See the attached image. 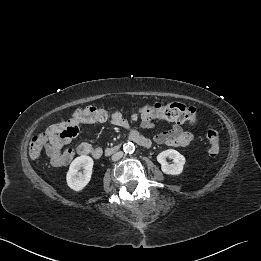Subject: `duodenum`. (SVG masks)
<instances>
[{
	"label": "duodenum",
	"mask_w": 261,
	"mask_h": 261,
	"mask_svg": "<svg viewBox=\"0 0 261 261\" xmlns=\"http://www.w3.org/2000/svg\"><path fill=\"white\" fill-rule=\"evenodd\" d=\"M128 140L135 142L144 148H149L151 146V141L149 139L143 137L139 133L130 134L128 137ZM117 149H118L117 146L109 147L105 150V154L110 155L111 153L115 152Z\"/></svg>",
	"instance_id": "410a0bca"
}]
</instances>
